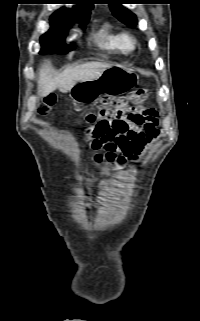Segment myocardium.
I'll use <instances>...</instances> for the list:
<instances>
[{
	"mask_svg": "<svg viewBox=\"0 0 200 321\" xmlns=\"http://www.w3.org/2000/svg\"><path fill=\"white\" fill-rule=\"evenodd\" d=\"M129 45L131 49H134L137 46V41L133 37H129Z\"/></svg>",
	"mask_w": 200,
	"mask_h": 321,
	"instance_id": "obj_1",
	"label": "myocardium"
}]
</instances>
